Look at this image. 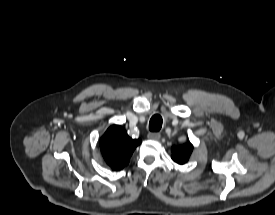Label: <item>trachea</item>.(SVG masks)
<instances>
[{
	"mask_svg": "<svg viewBox=\"0 0 275 215\" xmlns=\"http://www.w3.org/2000/svg\"><path fill=\"white\" fill-rule=\"evenodd\" d=\"M162 117L158 114H155L151 117L150 122H149V129L152 132H157L161 129L162 127Z\"/></svg>",
	"mask_w": 275,
	"mask_h": 215,
	"instance_id": "trachea-1",
	"label": "trachea"
}]
</instances>
